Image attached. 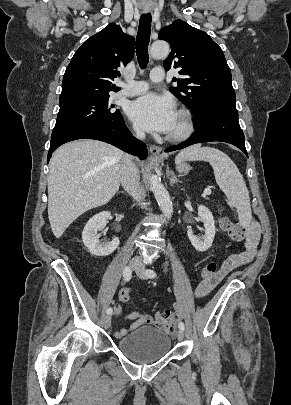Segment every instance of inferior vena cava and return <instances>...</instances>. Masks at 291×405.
Masks as SVG:
<instances>
[{"mask_svg":"<svg viewBox=\"0 0 291 405\" xmlns=\"http://www.w3.org/2000/svg\"><path fill=\"white\" fill-rule=\"evenodd\" d=\"M136 136L140 139L145 138V133L142 130H136ZM139 170L132 161V156L125 155L121 163L120 182L126 192L136 201L141 202L145 198V193L140 186ZM137 260L139 258L137 257Z\"/></svg>","mask_w":291,"mask_h":405,"instance_id":"602c4592","label":"inferior vena cava"}]
</instances>
